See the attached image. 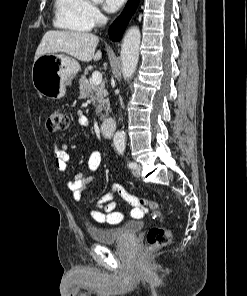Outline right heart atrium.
Listing matches in <instances>:
<instances>
[{
	"label": "right heart atrium",
	"instance_id": "obj_1",
	"mask_svg": "<svg viewBox=\"0 0 247 296\" xmlns=\"http://www.w3.org/2000/svg\"><path fill=\"white\" fill-rule=\"evenodd\" d=\"M86 14L92 26L101 24L104 19L100 9L92 3H88Z\"/></svg>",
	"mask_w": 247,
	"mask_h": 296
}]
</instances>
